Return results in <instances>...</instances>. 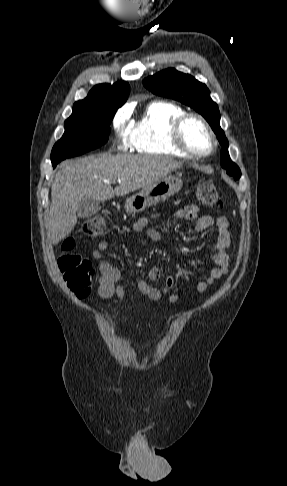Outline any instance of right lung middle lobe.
I'll list each match as a JSON object with an SVG mask.
<instances>
[{"label": "right lung middle lobe", "instance_id": "right-lung-middle-lobe-1", "mask_svg": "<svg viewBox=\"0 0 287 486\" xmlns=\"http://www.w3.org/2000/svg\"><path fill=\"white\" fill-rule=\"evenodd\" d=\"M115 112L105 108L73 109L72 115L65 121L64 135L52 149V165L105 144Z\"/></svg>", "mask_w": 287, "mask_h": 486}]
</instances>
